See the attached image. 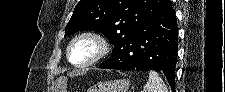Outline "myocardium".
I'll return each instance as SVG.
<instances>
[{"label":"myocardium","instance_id":"myocardium-1","mask_svg":"<svg viewBox=\"0 0 225 92\" xmlns=\"http://www.w3.org/2000/svg\"><path fill=\"white\" fill-rule=\"evenodd\" d=\"M81 40H89L92 41L96 45V53L92 58L89 60L82 62V63H77L72 60L71 57V50L73 46ZM109 52V42L107 38L102 35L101 33L95 32V31H85L82 32L78 35H76L68 44L67 49H66V57L68 62L75 68H85L89 67L91 65H94L101 59H103Z\"/></svg>","mask_w":225,"mask_h":92}]
</instances>
